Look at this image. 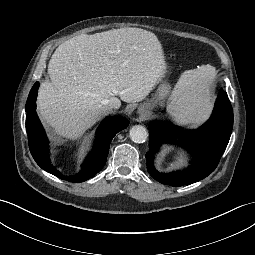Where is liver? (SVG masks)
<instances>
[{"label": "liver", "mask_w": 255, "mask_h": 255, "mask_svg": "<svg viewBox=\"0 0 255 255\" xmlns=\"http://www.w3.org/2000/svg\"><path fill=\"white\" fill-rule=\"evenodd\" d=\"M165 72L161 43L150 31L125 27L78 35L52 55L37 109L55 134L76 139L111 112L108 99L142 101Z\"/></svg>", "instance_id": "1"}]
</instances>
